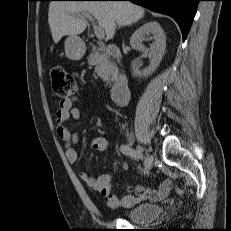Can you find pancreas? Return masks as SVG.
<instances>
[{
  "instance_id": "pancreas-1",
  "label": "pancreas",
  "mask_w": 231,
  "mask_h": 231,
  "mask_svg": "<svg viewBox=\"0 0 231 231\" xmlns=\"http://www.w3.org/2000/svg\"><path fill=\"white\" fill-rule=\"evenodd\" d=\"M89 60L92 65H95V72L97 75L108 84L115 71L114 63L106 54H101L99 52L91 53Z\"/></svg>"
}]
</instances>
